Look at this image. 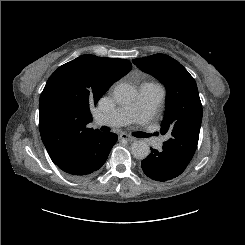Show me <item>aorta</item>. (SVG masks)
<instances>
[{
	"label": "aorta",
	"instance_id": "762f6f07",
	"mask_svg": "<svg viewBox=\"0 0 245 245\" xmlns=\"http://www.w3.org/2000/svg\"><path fill=\"white\" fill-rule=\"evenodd\" d=\"M114 98L119 104L127 105L135 100L136 90L129 84H118L114 88ZM131 153L136 159H145L150 154L149 145L143 141H134L131 144Z\"/></svg>",
	"mask_w": 245,
	"mask_h": 245
}]
</instances>
